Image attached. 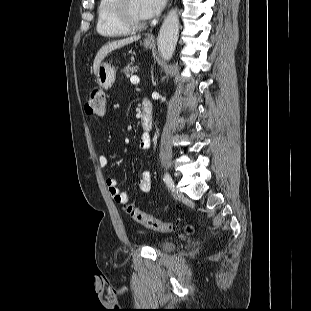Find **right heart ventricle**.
Returning a JSON list of instances; mask_svg holds the SVG:
<instances>
[{
  "mask_svg": "<svg viewBox=\"0 0 311 311\" xmlns=\"http://www.w3.org/2000/svg\"><path fill=\"white\" fill-rule=\"evenodd\" d=\"M114 0H99L96 9V30L107 37H122L129 34L116 18L113 9Z\"/></svg>",
  "mask_w": 311,
  "mask_h": 311,
  "instance_id": "obj_1",
  "label": "right heart ventricle"
}]
</instances>
